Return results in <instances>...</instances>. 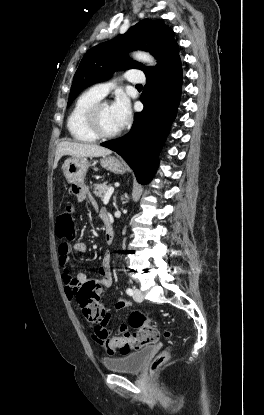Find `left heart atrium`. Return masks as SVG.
I'll return each instance as SVG.
<instances>
[{"label":"left heart atrium","instance_id":"left-heart-atrium-1","mask_svg":"<svg viewBox=\"0 0 264 415\" xmlns=\"http://www.w3.org/2000/svg\"><path fill=\"white\" fill-rule=\"evenodd\" d=\"M112 110L120 124L124 126L131 117V109L128 98L124 94H119L112 104Z\"/></svg>","mask_w":264,"mask_h":415}]
</instances>
